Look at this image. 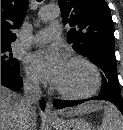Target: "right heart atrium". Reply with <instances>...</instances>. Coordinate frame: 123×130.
Returning a JSON list of instances; mask_svg holds the SVG:
<instances>
[{
  "instance_id": "right-heart-atrium-1",
  "label": "right heart atrium",
  "mask_w": 123,
  "mask_h": 130,
  "mask_svg": "<svg viewBox=\"0 0 123 130\" xmlns=\"http://www.w3.org/2000/svg\"><path fill=\"white\" fill-rule=\"evenodd\" d=\"M25 84L30 89H37L38 88L37 81L34 78L30 77V76L26 77Z\"/></svg>"
}]
</instances>
